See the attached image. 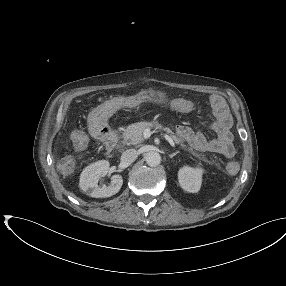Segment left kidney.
<instances>
[{"label": "left kidney", "mask_w": 286, "mask_h": 286, "mask_svg": "<svg viewBox=\"0 0 286 286\" xmlns=\"http://www.w3.org/2000/svg\"><path fill=\"white\" fill-rule=\"evenodd\" d=\"M202 168L184 166L178 172L180 186L188 192L197 193L202 184Z\"/></svg>", "instance_id": "1"}]
</instances>
